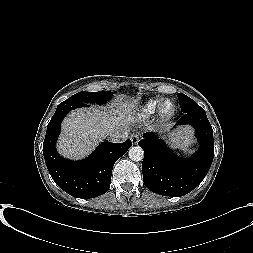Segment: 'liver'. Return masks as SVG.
Listing matches in <instances>:
<instances>
[{"mask_svg":"<svg viewBox=\"0 0 253 253\" xmlns=\"http://www.w3.org/2000/svg\"><path fill=\"white\" fill-rule=\"evenodd\" d=\"M134 102H116L108 109H77L69 113L62 123L58 152L69 159H82L89 155L108 132L129 128L141 120L134 116ZM192 129L183 127L172 133L171 141L178 146L193 143Z\"/></svg>","mask_w":253,"mask_h":253,"instance_id":"obj_1","label":"liver"}]
</instances>
